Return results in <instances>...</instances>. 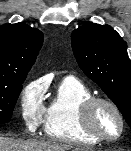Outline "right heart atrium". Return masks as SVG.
Here are the masks:
<instances>
[{
  "instance_id": "right-heart-atrium-1",
  "label": "right heart atrium",
  "mask_w": 131,
  "mask_h": 151,
  "mask_svg": "<svg viewBox=\"0 0 131 151\" xmlns=\"http://www.w3.org/2000/svg\"><path fill=\"white\" fill-rule=\"evenodd\" d=\"M44 84L40 80L29 82L20 95L21 115L25 125L34 131L41 122L43 106Z\"/></svg>"
}]
</instances>
